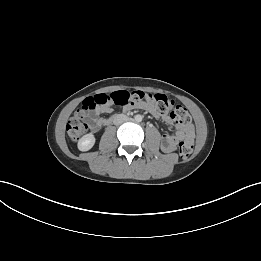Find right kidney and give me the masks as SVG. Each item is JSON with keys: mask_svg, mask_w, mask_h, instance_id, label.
<instances>
[{"mask_svg": "<svg viewBox=\"0 0 261 261\" xmlns=\"http://www.w3.org/2000/svg\"><path fill=\"white\" fill-rule=\"evenodd\" d=\"M95 144V137L92 133L84 135L78 141V149L80 151H88L90 150Z\"/></svg>", "mask_w": 261, "mask_h": 261, "instance_id": "1", "label": "right kidney"}]
</instances>
